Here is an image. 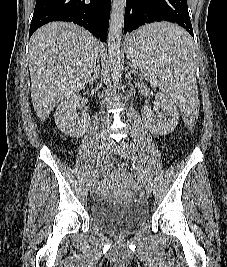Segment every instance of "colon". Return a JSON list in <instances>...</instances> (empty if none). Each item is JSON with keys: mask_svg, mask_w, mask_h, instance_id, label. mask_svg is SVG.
Returning a JSON list of instances; mask_svg holds the SVG:
<instances>
[{"mask_svg": "<svg viewBox=\"0 0 227 267\" xmlns=\"http://www.w3.org/2000/svg\"><path fill=\"white\" fill-rule=\"evenodd\" d=\"M178 117L180 118L182 125H185V131H194L196 124L192 118H196L197 115H185V113H179Z\"/></svg>", "mask_w": 227, "mask_h": 267, "instance_id": "obj_1", "label": "colon"}]
</instances>
